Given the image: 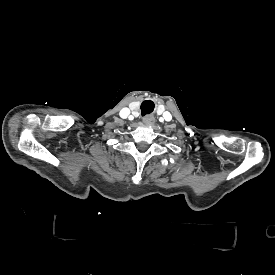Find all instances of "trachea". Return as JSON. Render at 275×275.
Listing matches in <instances>:
<instances>
[{
    "mask_svg": "<svg viewBox=\"0 0 275 275\" xmlns=\"http://www.w3.org/2000/svg\"><path fill=\"white\" fill-rule=\"evenodd\" d=\"M154 110V103L152 101H144L141 105L142 115L150 114Z\"/></svg>",
    "mask_w": 275,
    "mask_h": 275,
    "instance_id": "3493384b",
    "label": "trachea"
}]
</instances>
